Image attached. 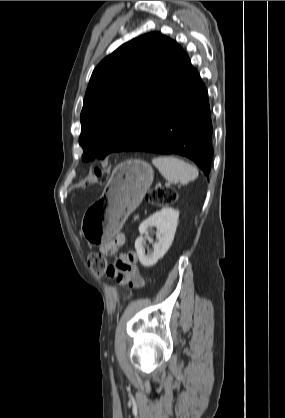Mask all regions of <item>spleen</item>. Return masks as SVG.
Wrapping results in <instances>:
<instances>
[{
  "label": "spleen",
  "mask_w": 285,
  "mask_h": 418,
  "mask_svg": "<svg viewBox=\"0 0 285 418\" xmlns=\"http://www.w3.org/2000/svg\"><path fill=\"white\" fill-rule=\"evenodd\" d=\"M152 163L170 182L187 184L195 180L199 174L196 167L174 156L156 157L153 158Z\"/></svg>",
  "instance_id": "spleen-1"
}]
</instances>
